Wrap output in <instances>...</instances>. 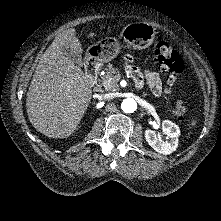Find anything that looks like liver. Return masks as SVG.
Wrapping results in <instances>:
<instances>
[{
	"label": "liver",
	"mask_w": 221,
	"mask_h": 221,
	"mask_svg": "<svg viewBox=\"0 0 221 221\" xmlns=\"http://www.w3.org/2000/svg\"><path fill=\"white\" fill-rule=\"evenodd\" d=\"M94 33L88 37H94ZM83 52L75 29L57 35L44 52L31 80L26 109L33 127L50 138H67L77 129L92 98L89 79L63 49Z\"/></svg>",
	"instance_id": "6515ba94"
}]
</instances>
